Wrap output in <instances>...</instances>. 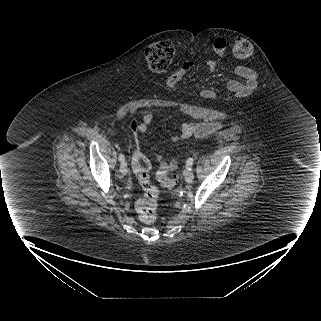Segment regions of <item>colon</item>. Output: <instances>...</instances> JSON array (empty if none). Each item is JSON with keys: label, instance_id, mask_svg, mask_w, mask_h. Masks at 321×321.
<instances>
[{"label": "colon", "instance_id": "obj_1", "mask_svg": "<svg viewBox=\"0 0 321 321\" xmlns=\"http://www.w3.org/2000/svg\"><path fill=\"white\" fill-rule=\"evenodd\" d=\"M233 53L237 58H246L252 53V45L247 39L238 38L234 42ZM174 55L175 47L167 41L151 44L145 50V59L149 67L156 72L165 71L171 64ZM136 126L137 120L132 118L129 127L135 129ZM132 168L143 189V195L135 203L136 212L143 223L153 224L158 219V189L151 183L150 163L138 148L133 153ZM159 180L164 187L173 188L177 183V176L159 175Z\"/></svg>", "mask_w": 321, "mask_h": 321}]
</instances>
